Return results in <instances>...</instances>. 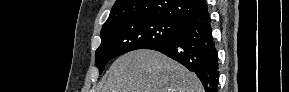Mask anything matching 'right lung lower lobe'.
<instances>
[{
    "label": "right lung lower lobe",
    "instance_id": "obj_1",
    "mask_svg": "<svg viewBox=\"0 0 289 92\" xmlns=\"http://www.w3.org/2000/svg\"><path fill=\"white\" fill-rule=\"evenodd\" d=\"M147 49L159 51L195 72L205 92H217L218 54L208 12L185 22L172 38Z\"/></svg>",
    "mask_w": 289,
    "mask_h": 92
}]
</instances>
